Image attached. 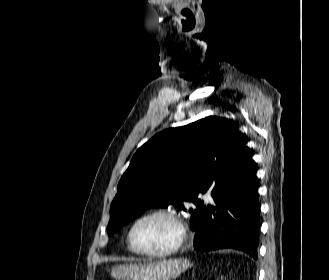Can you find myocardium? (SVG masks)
Listing matches in <instances>:
<instances>
[{
  "label": "myocardium",
  "mask_w": 329,
  "mask_h": 280,
  "mask_svg": "<svg viewBox=\"0 0 329 280\" xmlns=\"http://www.w3.org/2000/svg\"><path fill=\"white\" fill-rule=\"evenodd\" d=\"M153 217L167 218L168 220H170L172 222V224L174 225V227L176 229V233H177L176 240L170 247H168L166 249L159 250V251L143 250V249L138 248L134 243L133 234H134L136 227L142 221L149 219V218H153ZM185 240H186V230H185L183 222L181 221V219L179 218V216L177 215L176 212L169 210V209H164V208L155 209V210L142 214L140 217H138L133 222V224L131 225L129 232H128V245H129L130 249L136 254L143 255V256H149V257H165V256L172 255V254L176 253L183 246Z\"/></svg>",
  "instance_id": "obj_1"
}]
</instances>
